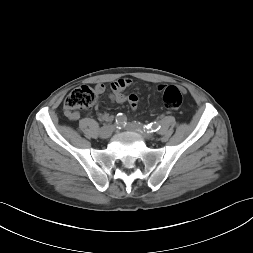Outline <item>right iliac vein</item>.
<instances>
[{
	"mask_svg": "<svg viewBox=\"0 0 253 253\" xmlns=\"http://www.w3.org/2000/svg\"><path fill=\"white\" fill-rule=\"evenodd\" d=\"M114 131V127L112 125H106L100 129V137L101 138H109Z\"/></svg>",
	"mask_w": 253,
	"mask_h": 253,
	"instance_id": "1",
	"label": "right iliac vein"
}]
</instances>
